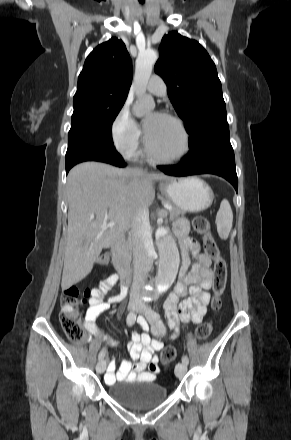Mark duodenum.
I'll return each mask as SVG.
<instances>
[{
	"mask_svg": "<svg viewBox=\"0 0 291 440\" xmlns=\"http://www.w3.org/2000/svg\"><path fill=\"white\" fill-rule=\"evenodd\" d=\"M123 245V237L115 238L110 245V252L112 254L113 262L120 273L122 283L127 284L130 279V265L124 252Z\"/></svg>",
	"mask_w": 291,
	"mask_h": 440,
	"instance_id": "duodenum-1",
	"label": "duodenum"
}]
</instances>
